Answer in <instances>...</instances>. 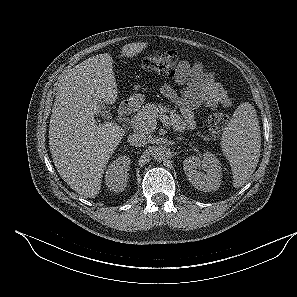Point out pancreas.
<instances>
[{
  "label": "pancreas",
  "mask_w": 297,
  "mask_h": 297,
  "mask_svg": "<svg viewBox=\"0 0 297 297\" xmlns=\"http://www.w3.org/2000/svg\"><path fill=\"white\" fill-rule=\"evenodd\" d=\"M169 113L168 124L176 132H184L186 123L174 110L162 105L148 103L133 117L134 129L145 134H151L157 125V120Z\"/></svg>",
  "instance_id": "obj_1"
}]
</instances>
